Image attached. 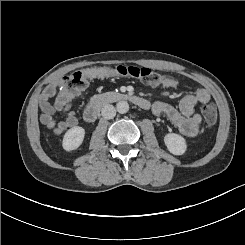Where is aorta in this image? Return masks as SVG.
Listing matches in <instances>:
<instances>
[{
    "mask_svg": "<svg viewBox=\"0 0 245 245\" xmlns=\"http://www.w3.org/2000/svg\"><path fill=\"white\" fill-rule=\"evenodd\" d=\"M116 109H117L118 113L125 114L129 111V104L127 101H119L116 104Z\"/></svg>",
    "mask_w": 245,
    "mask_h": 245,
    "instance_id": "aorta-1",
    "label": "aorta"
}]
</instances>
